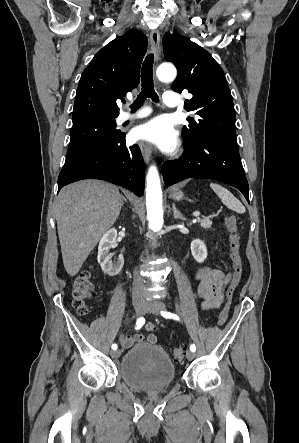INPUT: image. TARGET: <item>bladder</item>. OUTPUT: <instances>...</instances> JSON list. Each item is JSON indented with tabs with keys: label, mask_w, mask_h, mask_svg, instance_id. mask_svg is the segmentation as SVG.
I'll list each match as a JSON object with an SVG mask.
<instances>
[{
	"label": "bladder",
	"mask_w": 299,
	"mask_h": 443,
	"mask_svg": "<svg viewBox=\"0 0 299 443\" xmlns=\"http://www.w3.org/2000/svg\"><path fill=\"white\" fill-rule=\"evenodd\" d=\"M119 373L134 389L159 390L174 383L176 367L160 345L139 343L123 355Z\"/></svg>",
	"instance_id": "31cf9c89"
}]
</instances>
